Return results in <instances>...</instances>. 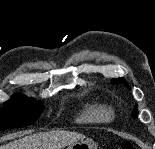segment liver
Returning <instances> with one entry per match:
<instances>
[{
    "instance_id": "1",
    "label": "liver",
    "mask_w": 155,
    "mask_h": 149,
    "mask_svg": "<svg viewBox=\"0 0 155 149\" xmlns=\"http://www.w3.org/2000/svg\"><path fill=\"white\" fill-rule=\"evenodd\" d=\"M84 138L81 133L55 130L25 136L0 146V149H63Z\"/></svg>"
}]
</instances>
